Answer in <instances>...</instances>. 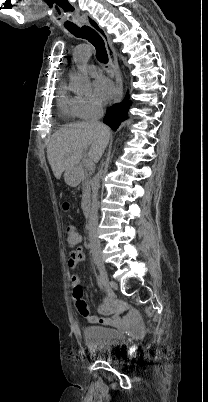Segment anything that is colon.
Wrapping results in <instances>:
<instances>
[{
    "instance_id": "colon-1",
    "label": "colon",
    "mask_w": 208,
    "mask_h": 402,
    "mask_svg": "<svg viewBox=\"0 0 208 402\" xmlns=\"http://www.w3.org/2000/svg\"><path fill=\"white\" fill-rule=\"evenodd\" d=\"M65 212H70V207H65ZM63 238L66 244L72 249L73 245H77L79 241V237L76 231V228L73 225H66L63 230ZM77 310L81 314L87 313V303L84 299H78L75 302Z\"/></svg>"
}]
</instances>
